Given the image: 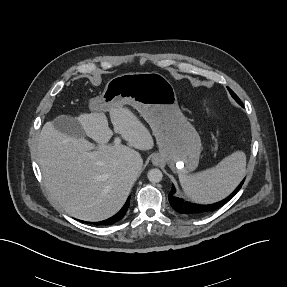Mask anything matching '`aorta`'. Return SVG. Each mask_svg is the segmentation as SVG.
Segmentation results:
<instances>
[{"label": "aorta", "mask_w": 287, "mask_h": 287, "mask_svg": "<svg viewBox=\"0 0 287 287\" xmlns=\"http://www.w3.org/2000/svg\"><path fill=\"white\" fill-rule=\"evenodd\" d=\"M148 179L152 183H158L162 180L163 174L159 169H151L148 172Z\"/></svg>", "instance_id": "1"}]
</instances>
